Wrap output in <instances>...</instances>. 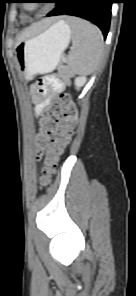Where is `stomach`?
Listing matches in <instances>:
<instances>
[{
	"label": "stomach",
	"instance_id": "0dacf381",
	"mask_svg": "<svg viewBox=\"0 0 136 296\" xmlns=\"http://www.w3.org/2000/svg\"><path fill=\"white\" fill-rule=\"evenodd\" d=\"M70 37V27L58 21L43 33L21 40L15 47L16 57L29 77L50 73L60 62Z\"/></svg>",
	"mask_w": 136,
	"mask_h": 296
}]
</instances>
